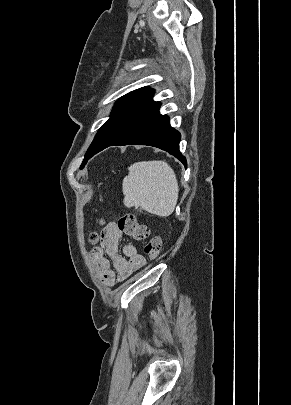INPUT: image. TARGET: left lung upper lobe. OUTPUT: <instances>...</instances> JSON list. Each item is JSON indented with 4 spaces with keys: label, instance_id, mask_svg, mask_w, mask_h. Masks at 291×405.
<instances>
[{
    "label": "left lung upper lobe",
    "instance_id": "1",
    "mask_svg": "<svg viewBox=\"0 0 291 405\" xmlns=\"http://www.w3.org/2000/svg\"><path fill=\"white\" fill-rule=\"evenodd\" d=\"M149 91L150 88L143 87L126 94L116 102L110 118L98 130L87 150L81 168L89 158L113 143L125 131L138 105Z\"/></svg>",
    "mask_w": 291,
    "mask_h": 405
}]
</instances>
